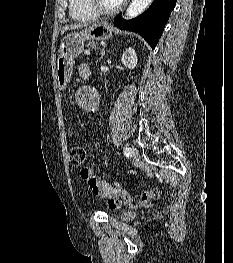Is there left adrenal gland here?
<instances>
[{"label": "left adrenal gland", "instance_id": "1", "mask_svg": "<svg viewBox=\"0 0 233 263\" xmlns=\"http://www.w3.org/2000/svg\"><path fill=\"white\" fill-rule=\"evenodd\" d=\"M105 45L103 46L101 53H100V59H103L104 55H105Z\"/></svg>", "mask_w": 233, "mask_h": 263}]
</instances>
